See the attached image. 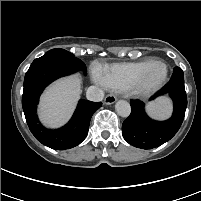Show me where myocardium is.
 I'll list each match as a JSON object with an SVG mask.
<instances>
[{"mask_svg": "<svg viewBox=\"0 0 201 201\" xmlns=\"http://www.w3.org/2000/svg\"><path fill=\"white\" fill-rule=\"evenodd\" d=\"M162 66L163 67V75L162 77L155 83L149 82V75L154 67ZM169 76V67L163 61H154L152 62L137 78L134 84L130 89L138 95L148 96L156 91L160 90L167 82Z\"/></svg>", "mask_w": 201, "mask_h": 201, "instance_id": "obj_1", "label": "myocardium"}]
</instances>
